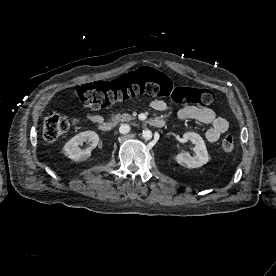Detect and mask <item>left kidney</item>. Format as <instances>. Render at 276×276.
Returning <instances> with one entry per match:
<instances>
[{"label":"left kidney","mask_w":276,"mask_h":276,"mask_svg":"<svg viewBox=\"0 0 276 276\" xmlns=\"http://www.w3.org/2000/svg\"><path fill=\"white\" fill-rule=\"evenodd\" d=\"M185 141H191L195 147V155L191 156L189 153H179L176 156V161L188 168H198L203 166L209 161V155L206 149V145L202 137L195 132H186L183 134Z\"/></svg>","instance_id":"left-kidney-1"}]
</instances>
